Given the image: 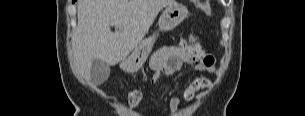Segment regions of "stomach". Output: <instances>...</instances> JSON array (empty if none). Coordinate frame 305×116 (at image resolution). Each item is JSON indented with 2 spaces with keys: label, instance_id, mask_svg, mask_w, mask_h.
<instances>
[{
  "label": "stomach",
  "instance_id": "1",
  "mask_svg": "<svg viewBox=\"0 0 305 116\" xmlns=\"http://www.w3.org/2000/svg\"><path fill=\"white\" fill-rule=\"evenodd\" d=\"M188 15L187 8L182 4L169 5L161 14L158 26L160 31H171L177 27ZM158 37V32L143 39L133 50V52L122 60L121 69L127 73L138 71L146 62L153 45Z\"/></svg>",
  "mask_w": 305,
  "mask_h": 116
}]
</instances>
